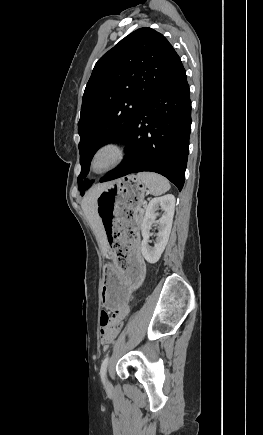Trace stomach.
<instances>
[{
    "label": "stomach",
    "instance_id": "0dacf381",
    "mask_svg": "<svg viewBox=\"0 0 263 435\" xmlns=\"http://www.w3.org/2000/svg\"><path fill=\"white\" fill-rule=\"evenodd\" d=\"M145 186L135 175H128L108 183L96 200V210L106 233L109 255L103 265L104 282L102 305L105 310H120L130 305L141 288L145 275L143 260H132L140 241V224H136L138 209L144 200Z\"/></svg>",
    "mask_w": 263,
    "mask_h": 435
}]
</instances>
